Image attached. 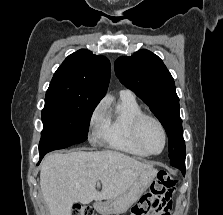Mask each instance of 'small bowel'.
<instances>
[{
    "label": "small bowel",
    "mask_w": 223,
    "mask_h": 215,
    "mask_svg": "<svg viewBox=\"0 0 223 215\" xmlns=\"http://www.w3.org/2000/svg\"><path fill=\"white\" fill-rule=\"evenodd\" d=\"M157 202L159 203H163L164 205H166V211L164 215H170V209H171V194L169 195H165L162 197H159L156 199Z\"/></svg>",
    "instance_id": "1"
}]
</instances>
